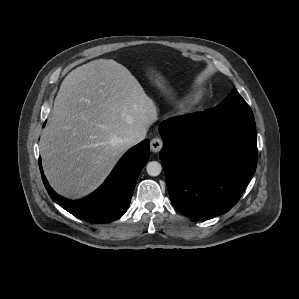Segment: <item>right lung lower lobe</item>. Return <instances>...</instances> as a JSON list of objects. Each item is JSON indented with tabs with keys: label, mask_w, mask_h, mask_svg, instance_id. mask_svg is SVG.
Listing matches in <instances>:
<instances>
[{
	"label": "right lung lower lobe",
	"mask_w": 299,
	"mask_h": 299,
	"mask_svg": "<svg viewBox=\"0 0 299 299\" xmlns=\"http://www.w3.org/2000/svg\"><path fill=\"white\" fill-rule=\"evenodd\" d=\"M150 156V141L145 139L121 158L106 181L91 195L70 201L57 195L40 171L50 197L72 215L93 223H108L120 218L127 210L137 178Z\"/></svg>",
	"instance_id": "1"
}]
</instances>
